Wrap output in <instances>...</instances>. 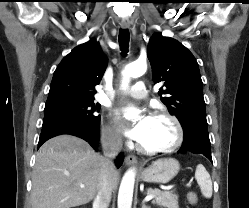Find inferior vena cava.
<instances>
[{
  "instance_id": "obj_1",
  "label": "inferior vena cava",
  "mask_w": 249,
  "mask_h": 208,
  "mask_svg": "<svg viewBox=\"0 0 249 208\" xmlns=\"http://www.w3.org/2000/svg\"><path fill=\"white\" fill-rule=\"evenodd\" d=\"M104 163L101 171V181L98 193L93 202V208H108L112 194V175L115 172L113 160L122 148V136L118 132H109L102 136Z\"/></svg>"
}]
</instances>
